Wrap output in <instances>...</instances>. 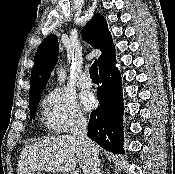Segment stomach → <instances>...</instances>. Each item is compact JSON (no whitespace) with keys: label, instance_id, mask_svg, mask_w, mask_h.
I'll list each match as a JSON object with an SVG mask.
<instances>
[{"label":"stomach","instance_id":"obj_1","mask_svg":"<svg viewBox=\"0 0 175 174\" xmlns=\"http://www.w3.org/2000/svg\"><path fill=\"white\" fill-rule=\"evenodd\" d=\"M27 174H42V173L41 171L33 170V171L28 172Z\"/></svg>","mask_w":175,"mask_h":174}]
</instances>
